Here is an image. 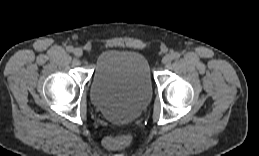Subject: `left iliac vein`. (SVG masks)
Listing matches in <instances>:
<instances>
[{
    "label": "left iliac vein",
    "instance_id": "left-iliac-vein-1",
    "mask_svg": "<svg viewBox=\"0 0 259 156\" xmlns=\"http://www.w3.org/2000/svg\"><path fill=\"white\" fill-rule=\"evenodd\" d=\"M173 57L171 54H166L163 58H162V63L163 64H168L172 61Z\"/></svg>",
    "mask_w": 259,
    "mask_h": 156
}]
</instances>
